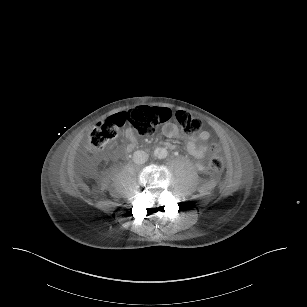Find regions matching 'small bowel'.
I'll return each instance as SVG.
<instances>
[{"label": "small bowel", "instance_id": "1", "mask_svg": "<svg viewBox=\"0 0 307 307\" xmlns=\"http://www.w3.org/2000/svg\"><path fill=\"white\" fill-rule=\"evenodd\" d=\"M163 133L166 137L169 138H176L180 136L179 129L174 124L171 123H168L163 127ZM126 138L128 141L129 149L133 148L137 144V138L135 136L134 131L129 129L126 132ZM209 139H210V133L205 130L189 136L187 138V150L189 154H191L197 159H202L208 151L207 146L204 145L203 143L207 142ZM167 146L169 148H174V145L170 143H168ZM196 168L199 171L205 170V166L201 162H198L196 164Z\"/></svg>", "mask_w": 307, "mask_h": 307}]
</instances>
